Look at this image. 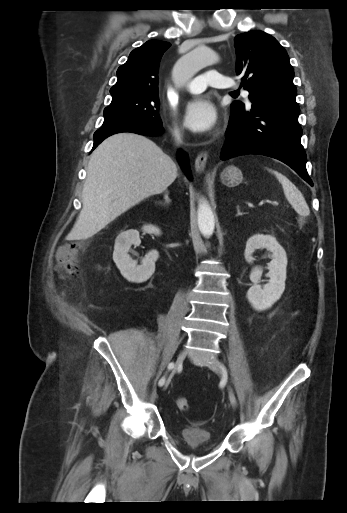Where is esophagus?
I'll return each instance as SVG.
<instances>
[{
  "label": "esophagus",
  "mask_w": 347,
  "mask_h": 513,
  "mask_svg": "<svg viewBox=\"0 0 347 513\" xmlns=\"http://www.w3.org/2000/svg\"><path fill=\"white\" fill-rule=\"evenodd\" d=\"M207 152H201L200 154H198V156L196 157L195 159V170L198 172V173H201L204 171L205 169V166H206V162H207Z\"/></svg>",
  "instance_id": "esophagus-1"
}]
</instances>
